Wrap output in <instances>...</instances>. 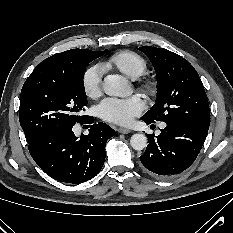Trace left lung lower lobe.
Masks as SVG:
<instances>
[{
  "instance_id": "obj_1",
  "label": "left lung lower lobe",
  "mask_w": 233,
  "mask_h": 233,
  "mask_svg": "<svg viewBox=\"0 0 233 233\" xmlns=\"http://www.w3.org/2000/svg\"><path fill=\"white\" fill-rule=\"evenodd\" d=\"M166 124L160 135H147L149 145L140 156L145 168L161 176L178 174L190 167L208 134V129L189 122Z\"/></svg>"
}]
</instances>
